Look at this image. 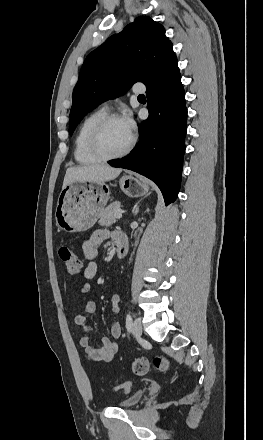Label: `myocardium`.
I'll list each match as a JSON object with an SVG mask.
<instances>
[{
    "label": "myocardium",
    "instance_id": "f54148a6",
    "mask_svg": "<svg viewBox=\"0 0 263 440\" xmlns=\"http://www.w3.org/2000/svg\"><path fill=\"white\" fill-rule=\"evenodd\" d=\"M113 121H124V118L115 113L105 114L93 125L88 136L89 152L101 161H109L126 156L136 143V136L133 131H130V139L121 151L113 154L106 153L101 146V133L103 129Z\"/></svg>",
    "mask_w": 263,
    "mask_h": 440
}]
</instances>
